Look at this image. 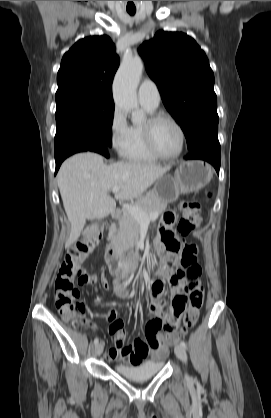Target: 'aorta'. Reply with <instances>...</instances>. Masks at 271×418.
<instances>
[{"instance_id":"762f6f07","label":"aorta","mask_w":271,"mask_h":418,"mask_svg":"<svg viewBox=\"0 0 271 418\" xmlns=\"http://www.w3.org/2000/svg\"><path fill=\"white\" fill-rule=\"evenodd\" d=\"M144 69L143 61L135 56L124 60L114 78L113 96L118 108L131 111L133 122L142 120L143 114L139 110L136 90Z\"/></svg>"}]
</instances>
